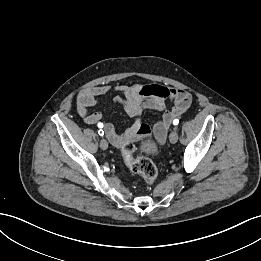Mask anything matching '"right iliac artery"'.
I'll return each mask as SVG.
<instances>
[{"label":"right iliac artery","mask_w":261,"mask_h":261,"mask_svg":"<svg viewBox=\"0 0 261 261\" xmlns=\"http://www.w3.org/2000/svg\"><path fill=\"white\" fill-rule=\"evenodd\" d=\"M98 127H99V128H102V127H103V124H102V123H98ZM98 134H99L100 136H103V135H104V131H103L102 129H100V130L98 131Z\"/></svg>","instance_id":"obj_1"}]
</instances>
